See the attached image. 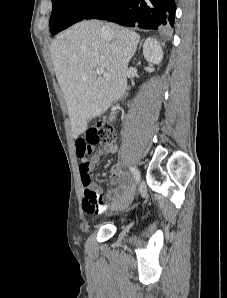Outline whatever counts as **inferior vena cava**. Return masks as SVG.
I'll return each mask as SVG.
<instances>
[{"instance_id": "inferior-vena-cava-1", "label": "inferior vena cava", "mask_w": 227, "mask_h": 298, "mask_svg": "<svg viewBox=\"0 0 227 298\" xmlns=\"http://www.w3.org/2000/svg\"><path fill=\"white\" fill-rule=\"evenodd\" d=\"M103 29H104V30H106V29H107V27L105 26Z\"/></svg>"}]
</instances>
